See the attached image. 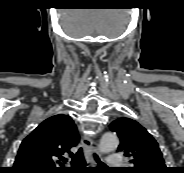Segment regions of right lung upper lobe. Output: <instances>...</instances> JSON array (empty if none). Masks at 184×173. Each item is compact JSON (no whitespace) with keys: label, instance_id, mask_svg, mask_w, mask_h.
<instances>
[{"label":"right lung upper lobe","instance_id":"obj_1","mask_svg":"<svg viewBox=\"0 0 184 173\" xmlns=\"http://www.w3.org/2000/svg\"><path fill=\"white\" fill-rule=\"evenodd\" d=\"M79 142L74 121L67 115L59 114L43 121L21 143L13 173H66L68 169L56 167L64 154Z\"/></svg>","mask_w":184,"mask_h":173}]
</instances>
